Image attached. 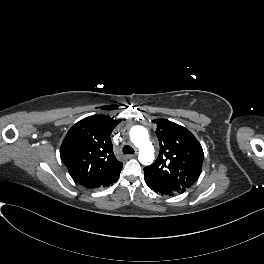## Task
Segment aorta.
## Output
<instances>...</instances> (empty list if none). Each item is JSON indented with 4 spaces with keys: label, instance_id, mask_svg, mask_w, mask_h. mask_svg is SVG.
Segmentation results:
<instances>
[{
    "label": "aorta",
    "instance_id": "obj_1",
    "mask_svg": "<svg viewBox=\"0 0 264 264\" xmlns=\"http://www.w3.org/2000/svg\"><path fill=\"white\" fill-rule=\"evenodd\" d=\"M130 137L139 148V161L144 165L150 164L154 159V153L147 130L142 126H135L130 131Z\"/></svg>",
    "mask_w": 264,
    "mask_h": 264
}]
</instances>
